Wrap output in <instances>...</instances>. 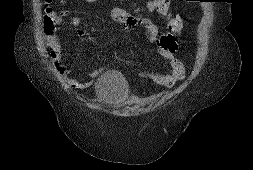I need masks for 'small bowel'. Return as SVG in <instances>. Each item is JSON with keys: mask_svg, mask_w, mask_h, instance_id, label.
<instances>
[{"mask_svg": "<svg viewBox=\"0 0 253 170\" xmlns=\"http://www.w3.org/2000/svg\"><path fill=\"white\" fill-rule=\"evenodd\" d=\"M170 2L171 0H149L145 4V12H157L168 20L169 30L171 31V33L168 34H160L158 27L149 19L132 15L123 8L114 7L110 11L111 20L120 25L124 30L143 26L145 27L147 41L150 43H157L159 53L165 60L168 61L170 69L164 74L148 73L145 74L144 77L166 88L172 87L175 83L181 81L185 77L184 65L175 56V52L178 48V42L172 34L179 32L182 29L183 21L179 17H172L169 10ZM45 9L48 13H53V0H45ZM66 21L74 27L80 25V19L77 16L68 17L66 12H60L55 17L56 25H61ZM175 22H179L180 26L175 27ZM78 35L81 38H87V34L84 31H79ZM47 40L52 48L56 51L59 50L58 37L54 31L47 34ZM129 52L134 54L133 50H129ZM55 69L62 77L67 79L68 85L73 89H85L89 87L92 80L101 73V70H94L85 78H74L72 77L71 71L60 60L59 55L55 60Z\"/></svg>", "mask_w": 253, "mask_h": 170, "instance_id": "obj_1", "label": "small bowel"}]
</instances>
